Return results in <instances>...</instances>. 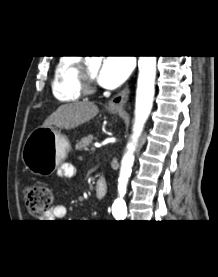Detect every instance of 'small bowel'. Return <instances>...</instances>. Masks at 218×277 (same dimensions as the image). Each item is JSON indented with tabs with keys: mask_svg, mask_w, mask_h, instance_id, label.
<instances>
[{
	"mask_svg": "<svg viewBox=\"0 0 218 277\" xmlns=\"http://www.w3.org/2000/svg\"><path fill=\"white\" fill-rule=\"evenodd\" d=\"M76 174V169L71 164H63L59 168V175L64 178L73 177ZM66 207L63 204H56L53 209L44 217L46 222H52L53 220H59L66 216Z\"/></svg>",
	"mask_w": 218,
	"mask_h": 277,
	"instance_id": "c3829d8e",
	"label": "small bowel"
}]
</instances>
